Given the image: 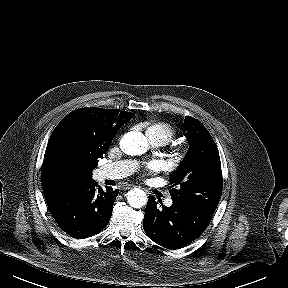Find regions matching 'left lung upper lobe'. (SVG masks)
I'll return each instance as SVG.
<instances>
[{
  "instance_id": "1",
  "label": "left lung upper lobe",
  "mask_w": 288,
  "mask_h": 288,
  "mask_svg": "<svg viewBox=\"0 0 288 288\" xmlns=\"http://www.w3.org/2000/svg\"><path fill=\"white\" fill-rule=\"evenodd\" d=\"M183 131L190 148L169 179L172 200L214 213L221 198L223 182L218 149L200 121L186 116Z\"/></svg>"
}]
</instances>
